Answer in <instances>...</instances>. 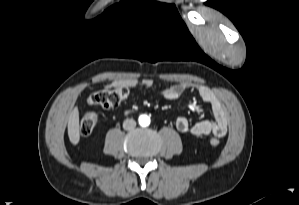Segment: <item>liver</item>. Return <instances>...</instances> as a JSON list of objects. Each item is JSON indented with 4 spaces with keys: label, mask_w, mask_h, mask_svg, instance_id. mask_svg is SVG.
I'll list each match as a JSON object with an SVG mask.
<instances>
[{
    "label": "liver",
    "mask_w": 299,
    "mask_h": 205,
    "mask_svg": "<svg viewBox=\"0 0 299 205\" xmlns=\"http://www.w3.org/2000/svg\"><path fill=\"white\" fill-rule=\"evenodd\" d=\"M68 136L72 144L76 145L80 140L79 132V111L78 107H75L68 117Z\"/></svg>",
    "instance_id": "6515ba94"
}]
</instances>
